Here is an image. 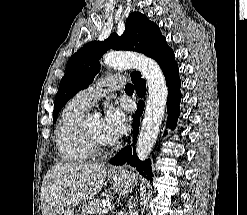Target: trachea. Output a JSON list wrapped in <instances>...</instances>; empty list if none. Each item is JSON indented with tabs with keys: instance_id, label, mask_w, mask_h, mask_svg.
Here are the masks:
<instances>
[{
	"instance_id": "1",
	"label": "trachea",
	"mask_w": 247,
	"mask_h": 215,
	"mask_svg": "<svg viewBox=\"0 0 247 215\" xmlns=\"http://www.w3.org/2000/svg\"><path fill=\"white\" fill-rule=\"evenodd\" d=\"M125 91H134V86L132 84H127L125 87Z\"/></svg>"
}]
</instances>
